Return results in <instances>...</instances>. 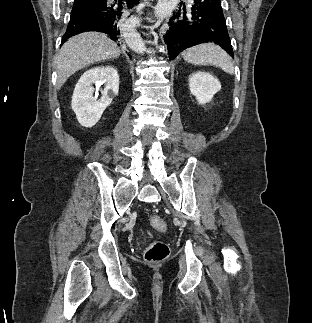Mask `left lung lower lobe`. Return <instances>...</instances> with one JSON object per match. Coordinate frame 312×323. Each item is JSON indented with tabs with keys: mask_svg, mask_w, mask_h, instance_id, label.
<instances>
[{
	"mask_svg": "<svg viewBox=\"0 0 312 323\" xmlns=\"http://www.w3.org/2000/svg\"><path fill=\"white\" fill-rule=\"evenodd\" d=\"M163 37L172 60L184 49L208 42L234 56L221 0H194L187 9L184 4L171 17Z\"/></svg>",
	"mask_w": 312,
	"mask_h": 323,
	"instance_id": "1",
	"label": "left lung lower lobe"
}]
</instances>
